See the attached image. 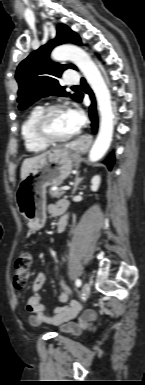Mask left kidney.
<instances>
[{"label":"left kidney","mask_w":145,"mask_h":385,"mask_svg":"<svg viewBox=\"0 0 145 385\" xmlns=\"http://www.w3.org/2000/svg\"><path fill=\"white\" fill-rule=\"evenodd\" d=\"M100 182H101V178L99 175L93 176V178L91 180V190L93 192H96L98 190Z\"/></svg>","instance_id":"obj_1"}]
</instances>
